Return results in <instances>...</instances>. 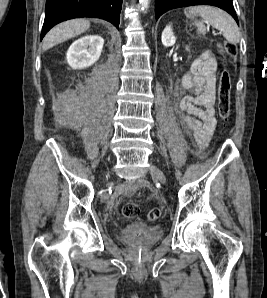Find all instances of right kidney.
<instances>
[{"label":"right kidney","instance_id":"right-kidney-1","mask_svg":"<svg viewBox=\"0 0 267 298\" xmlns=\"http://www.w3.org/2000/svg\"><path fill=\"white\" fill-rule=\"evenodd\" d=\"M104 39L100 35H86L74 41L67 51V62L73 69L93 65L100 57Z\"/></svg>","mask_w":267,"mask_h":298}]
</instances>
